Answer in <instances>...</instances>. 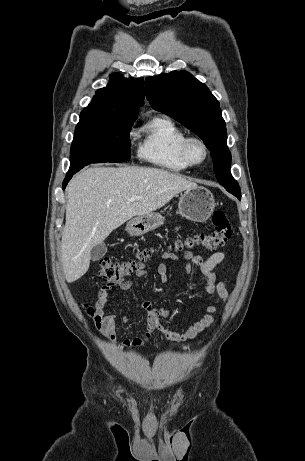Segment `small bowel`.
<instances>
[{"label":"small bowel","instance_id":"1","mask_svg":"<svg viewBox=\"0 0 305 461\" xmlns=\"http://www.w3.org/2000/svg\"><path fill=\"white\" fill-rule=\"evenodd\" d=\"M185 259L182 262L184 271L187 275L192 273L193 268H196L203 280L202 290L206 295V313L205 315L185 332L178 333L163 327L160 323L161 318L170 316V310L165 307H154L150 300L142 302V309L144 311L147 330L142 337L126 338L121 341L124 347H140L152 339L156 334H161L168 340L173 342H186L194 340L205 329L212 327L215 324V313L217 312L216 301L213 294H217L223 301H227L229 297V290L225 282H216V275L214 269L219 266L225 259V253L222 251L215 252L208 258L204 259L200 255H194L190 251L182 253ZM161 257L166 260L179 261V256L172 251H164ZM157 273L160 281L163 284L169 282L168 267L164 263H160L157 267ZM147 274L145 265L142 264L136 271L135 276L142 278ZM116 285L121 290H130L133 287V282L130 280H120ZM113 284L107 283L101 287L97 293L95 302V321L101 334L110 342H116V317L114 315H106L107 306L110 301V293ZM125 322L129 319L124 317Z\"/></svg>","mask_w":305,"mask_h":461}]
</instances>
